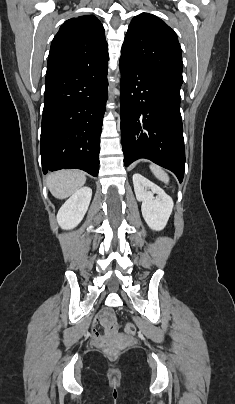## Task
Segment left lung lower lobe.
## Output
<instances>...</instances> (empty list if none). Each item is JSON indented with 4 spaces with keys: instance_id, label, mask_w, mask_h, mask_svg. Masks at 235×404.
Wrapping results in <instances>:
<instances>
[{
    "instance_id": "obj_1",
    "label": "left lung lower lobe",
    "mask_w": 235,
    "mask_h": 404,
    "mask_svg": "<svg viewBox=\"0 0 235 404\" xmlns=\"http://www.w3.org/2000/svg\"><path fill=\"white\" fill-rule=\"evenodd\" d=\"M121 136L124 165L146 158L181 183L185 147L180 114L182 83L120 57Z\"/></svg>"
}]
</instances>
